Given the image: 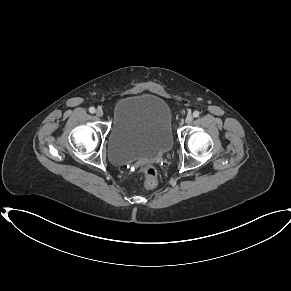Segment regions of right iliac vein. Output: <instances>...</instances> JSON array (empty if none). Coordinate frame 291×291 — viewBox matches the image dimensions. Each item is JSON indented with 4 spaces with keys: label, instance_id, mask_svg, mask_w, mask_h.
Segmentation results:
<instances>
[{
    "label": "right iliac vein",
    "instance_id": "obj_1",
    "mask_svg": "<svg viewBox=\"0 0 291 291\" xmlns=\"http://www.w3.org/2000/svg\"><path fill=\"white\" fill-rule=\"evenodd\" d=\"M96 115H97L98 117H102V116H103V110H102L101 108H98V109L96 110Z\"/></svg>",
    "mask_w": 291,
    "mask_h": 291
}]
</instances>
